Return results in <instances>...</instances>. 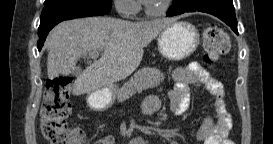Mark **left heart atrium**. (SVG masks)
<instances>
[{"label":"left heart atrium","instance_id":"39dd6f15","mask_svg":"<svg viewBox=\"0 0 273 144\" xmlns=\"http://www.w3.org/2000/svg\"><path fill=\"white\" fill-rule=\"evenodd\" d=\"M149 1H150V0H143V2L146 3V4H147Z\"/></svg>","mask_w":273,"mask_h":144}]
</instances>
